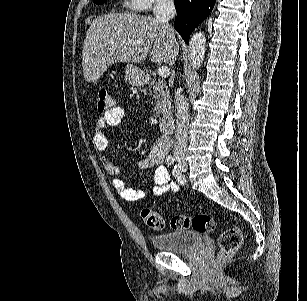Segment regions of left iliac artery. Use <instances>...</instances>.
Returning a JSON list of instances; mask_svg holds the SVG:
<instances>
[{
  "label": "left iliac artery",
  "instance_id": "obj_1",
  "mask_svg": "<svg viewBox=\"0 0 307 301\" xmlns=\"http://www.w3.org/2000/svg\"><path fill=\"white\" fill-rule=\"evenodd\" d=\"M173 174H174L175 178L177 179V181L179 183L184 182L185 179H184L183 175L181 174V166L175 165V167L173 169Z\"/></svg>",
  "mask_w": 307,
  "mask_h": 301
}]
</instances>
